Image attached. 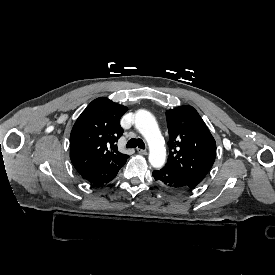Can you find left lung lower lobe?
Instances as JSON below:
<instances>
[{
	"instance_id": "1",
	"label": "left lung lower lobe",
	"mask_w": 275,
	"mask_h": 275,
	"mask_svg": "<svg viewBox=\"0 0 275 275\" xmlns=\"http://www.w3.org/2000/svg\"><path fill=\"white\" fill-rule=\"evenodd\" d=\"M154 179L164 188L173 192H185L191 188L171 169L163 167L152 172Z\"/></svg>"
}]
</instances>
